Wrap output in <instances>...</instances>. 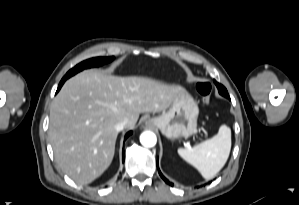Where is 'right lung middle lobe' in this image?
<instances>
[{
	"instance_id": "obj_1",
	"label": "right lung middle lobe",
	"mask_w": 299,
	"mask_h": 205,
	"mask_svg": "<svg viewBox=\"0 0 299 205\" xmlns=\"http://www.w3.org/2000/svg\"><path fill=\"white\" fill-rule=\"evenodd\" d=\"M113 60H114V57H96V58H92V59L83 61V62L79 63L78 65H76L74 68H72L70 71H68L62 80L65 81L66 79L75 75L76 73H78L79 71H81L83 69L90 68V67H98L103 64L109 63Z\"/></svg>"
}]
</instances>
